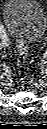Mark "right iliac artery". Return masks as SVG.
Returning <instances> with one entry per match:
<instances>
[{"instance_id":"1","label":"right iliac artery","mask_w":47,"mask_h":129,"mask_svg":"<svg viewBox=\"0 0 47 129\" xmlns=\"http://www.w3.org/2000/svg\"><path fill=\"white\" fill-rule=\"evenodd\" d=\"M0 35H1V39H2L3 44L8 41V38L4 34V29L2 27H0Z\"/></svg>"}]
</instances>
